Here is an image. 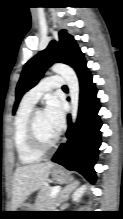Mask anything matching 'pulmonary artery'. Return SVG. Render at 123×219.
I'll list each match as a JSON object with an SVG mask.
<instances>
[{
	"label": "pulmonary artery",
	"mask_w": 123,
	"mask_h": 219,
	"mask_svg": "<svg viewBox=\"0 0 123 219\" xmlns=\"http://www.w3.org/2000/svg\"><path fill=\"white\" fill-rule=\"evenodd\" d=\"M65 80L63 77L54 75L41 80L35 87L25 93L23 101L34 105L46 93L54 88H60L64 85Z\"/></svg>",
	"instance_id": "pulmonary-artery-1"
}]
</instances>
